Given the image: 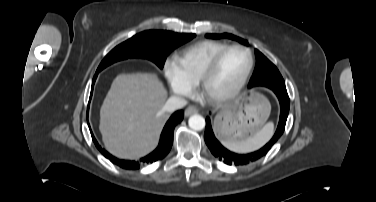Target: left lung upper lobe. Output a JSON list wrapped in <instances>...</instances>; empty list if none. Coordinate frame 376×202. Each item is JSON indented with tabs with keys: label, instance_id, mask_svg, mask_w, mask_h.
I'll list each match as a JSON object with an SVG mask.
<instances>
[{
	"label": "left lung upper lobe",
	"instance_id": "left-lung-upper-lobe-1",
	"mask_svg": "<svg viewBox=\"0 0 376 202\" xmlns=\"http://www.w3.org/2000/svg\"><path fill=\"white\" fill-rule=\"evenodd\" d=\"M207 38L212 39H221V38H230L236 41H239L242 44H246L247 42L239 37H236L231 34H206ZM256 55V67L254 73L250 79L248 87L254 86H266L268 88H281L286 90L285 82L276 68V66L270 62L260 51L257 49L255 50Z\"/></svg>",
	"mask_w": 376,
	"mask_h": 202
}]
</instances>
